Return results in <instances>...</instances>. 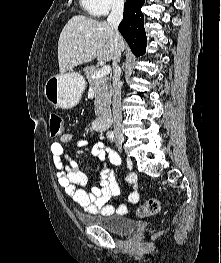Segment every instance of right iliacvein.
<instances>
[{"mask_svg": "<svg viewBox=\"0 0 221 263\" xmlns=\"http://www.w3.org/2000/svg\"><path fill=\"white\" fill-rule=\"evenodd\" d=\"M120 142L122 143L123 142V138H119Z\"/></svg>", "mask_w": 221, "mask_h": 263, "instance_id": "1", "label": "right iliac vein"}]
</instances>
